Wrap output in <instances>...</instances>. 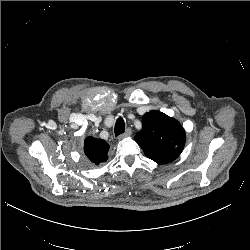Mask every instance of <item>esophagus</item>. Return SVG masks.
I'll list each match as a JSON object with an SVG mask.
<instances>
[{"label":"esophagus","instance_id":"obj_1","mask_svg":"<svg viewBox=\"0 0 250 250\" xmlns=\"http://www.w3.org/2000/svg\"><path fill=\"white\" fill-rule=\"evenodd\" d=\"M131 134H132V130L130 128H127L126 131L118 137V139L119 140L123 139L125 137L130 136Z\"/></svg>","mask_w":250,"mask_h":250}]
</instances>
